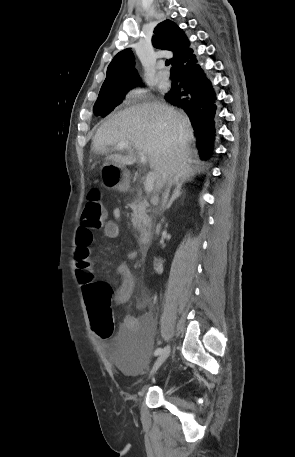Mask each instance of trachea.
Wrapping results in <instances>:
<instances>
[{"instance_id":"trachea-1","label":"trachea","mask_w":295,"mask_h":457,"mask_svg":"<svg viewBox=\"0 0 295 457\" xmlns=\"http://www.w3.org/2000/svg\"><path fill=\"white\" fill-rule=\"evenodd\" d=\"M169 64H170V63H169V61L167 60V61L165 62V65H166V66H169Z\"/></svg>"}]
</instances>
